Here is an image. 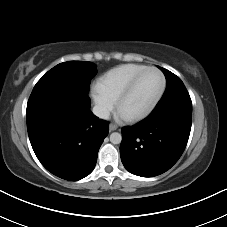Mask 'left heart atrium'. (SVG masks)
Returning <instances> with one entry per match:
<instances>
[{
	"label": "left heart atrium",
	"mask_w": 227,
	"mask_h": 227,
	"mask_svg": "<svg viewBox=\"0 0 227 227\" xmlns=\"http://www.w3.org/2000/svg\"><path fill=\"white\" fill-rule=\"evenodd\" d=\"M117 118H119V119H127L128 118V114L124 110L120 109L118 111V113H117Z\"/></svg>",
	"instance_id": "39dd6f15"
}]
</instances>
